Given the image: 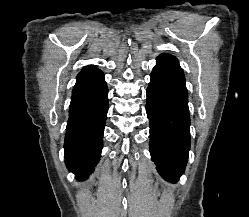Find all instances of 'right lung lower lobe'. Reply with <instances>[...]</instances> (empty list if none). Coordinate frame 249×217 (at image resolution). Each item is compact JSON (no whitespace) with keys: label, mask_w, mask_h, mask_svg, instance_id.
Returning <instances> with one entry per match:
<instances>
[{"label":"right lung lower lobe","mask_w":249,"mask_h":217,"mask_svg":"<svg viewBox=\"0 0 249 217\" xmlns=\"http://www.w3.org/2000/svg\"><path fill=\"white\" fill-rule=\"evenodd\" d=\"M104 74L94 65L77 76L72 91L64 143L65 163L78 180H84L100 159L108 111Z\"/></svg>","instance_id":"98d812e1"}]
</instances>
